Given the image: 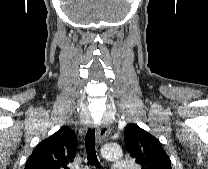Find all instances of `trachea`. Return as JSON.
I'll use <instances>...</instances> for the list:
<instances>
[{
	"mask_svg": "<svg viewBox=\"0 0 208 169\" xmlns=\"http://www.w3.org/2000/svg\"><path fill=\"white\" fill-rule=\"evenodd\" d=\"M88 164L100 168L95 149V129H88L85 138Z\"/></svg>",
	"mask_w": 208,
	"mask_h": 169,
	"instance_id": "1",
	"label": "trachea"
}]
</instances>
